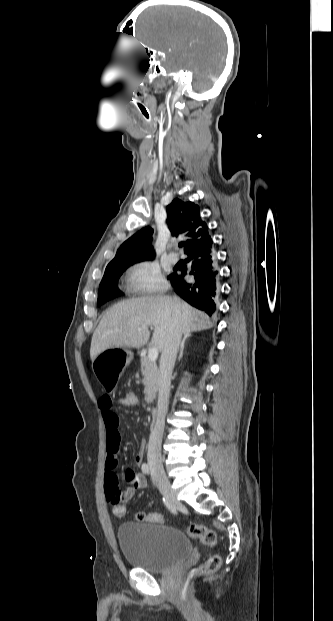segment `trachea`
Masks as SVG:
<instances>
[{"mask_svg": "<svg viewBox=\"0 0 333 621\" xmlns=\"http://www.w3.org/2000/svg\"><path fill=\"white\" fill-rule=\"evenodd\" d=\"M184 245V243H180L179 246L182 247Z\"/></svg>", "mask_w": 333, "mask_h": 621, "instance_id": "1", "label": "trachea"}]
</instances>
